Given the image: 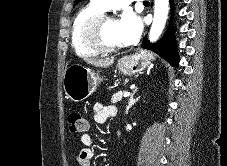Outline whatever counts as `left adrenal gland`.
<instances>
[{
	"instance_id": "obj_1",
	"label": "left adrenal gland",
	"mask_w": 227,
	"mask_h": 166,
	"mask_svg": "<svg viewBox=\"0 0 227 166\" xmlns=\"http://www.w3.org/2000/svg\"><path fill=\"white\" fill-rule=\"evenodd\" d=\"M137 89H138V88L134 89L133 93H132V94L130 95V97H129V102H128V105H127V107H126V114H128L129 109H130V108L139 100V98H140V96L137 97V98H134V96H135V94H136V92H137Z\"/></svg>"
}]
</instances>
